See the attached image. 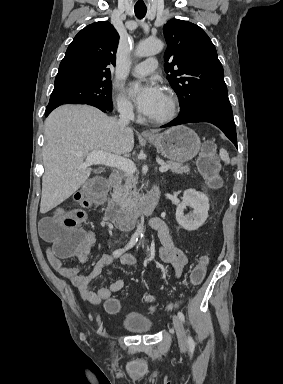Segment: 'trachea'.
I'll list each match as a JSON object with an SVG mask.
<instances>
[{"label":"trachea","mask_w":283,"mask_h":384,"mask_svg":"<svg viewBox=\"0 0 283 384\" xmlns=\"http://www.w3.org/2000/svg\"><path fill=\"white\" fill-rule=\"evenodd\" d=\"M135 10V15L138 19L144 18L147 12V8H134Z\"/></svg>","instance_id":"obj_1"}]
</instances>
